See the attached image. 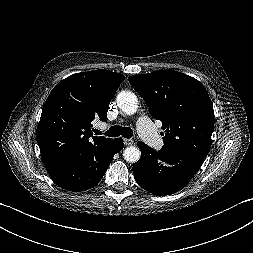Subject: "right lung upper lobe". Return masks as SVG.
Returning a JSON list of instances; mask_svg holds the SVG:
<instances>
[{"label":"right lung upper lobe","mask_w":253,"mask_h":253,"mask_svg":"<svg viewBox=\"0 0 253 253\" xmlns=\"http://www.w3.org/2000/svg\"><path fill=\"white\" fill-rule=\"evenodd\" d=\"M125 77L108 70L76 73L51 91L37 127L44 165L88 155L113 139L93 136L91 122L107 118L109 104Z\"/></svg>","instance_id":"cb5924a9"}]
</instances>
